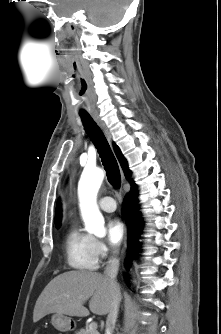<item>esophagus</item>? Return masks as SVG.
<instances>
[{"instance_id": "obj_1", "label": "esophagus", "mask_w": 221, "mask_h": 334, "mask_svg": "<svg viewBox=\"0 0 221 334\" xmlns=\"http://www.w3.org/2000/svg\"><path fill=\"white\" fill-rule=\"evenodd\" d=\"M93 118L97 122V124L99 125V127L102 129V131L104 132V134L107 137V139L109 141H111L110 132H109L108 128L106 127V125L104 124V122L96 114L93 115ZM126 241H127V229L125 228V245H124V250L126 248Z\"/></svg>"}]
</instances>
